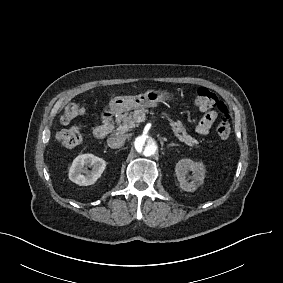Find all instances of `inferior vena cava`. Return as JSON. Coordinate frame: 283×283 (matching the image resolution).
<instances>
[{"instance_id":"inferior-vena-cava-1","label":"inferior vena cava","mask_w":283,"mask_h":283,"mask_svg":"<svg viewBox=\"0 0 283 283\" xmlns=\"http://www.w3.org/2000/svg\"><path fill=\"white\" fill-rule=\"evenodd\" d=\"M107 143L111 148H119L124 144V139L121 136L110 137L107 139Z\"/></svg>"}]
</instances>
